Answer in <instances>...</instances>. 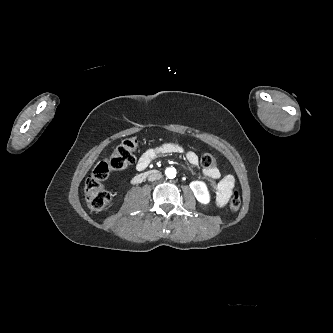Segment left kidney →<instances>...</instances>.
Instances as JSON below:
<instances>
[{
	"label": "left kidney",
	"instance_id": "5707ae66",
	"mask_svg": "<svg viewBox=\"0 0 333 333\" xmlns=\"http://www.w3.org/2000/svg\"><path fill=\"white\" fill-rule=\"evenodd\" d=\"M190 188L199 202L203 204L209 203L210 195L204 182L193 181L190 183Z\"/></svg>",
	"mask_w": 333,
	"mask_h": 333
}]
</instances>
